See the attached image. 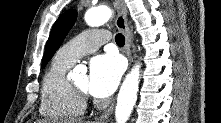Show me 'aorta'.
Instances as JSON below:
<instances>
[{
    "label": "aorta",
    "instance_id": "obj_1",
    "mask_svg": "<svg viewBox=\"0 0 221 123\" xmlns=\"http://www.w3.org/2000/svg\"><path fill=\"white\" fill-rule=\"evenodd\" d=\"M111 9L105 6L89 9L85 14L86 23L91 26H100L111 18ZM139 65L134 66L127 74L118 93L115 118L117 123H126L137 100L139 88Z\"/></svg>",
    "mask_w": 221,
    "mask_h": 123
}]
</instances>
